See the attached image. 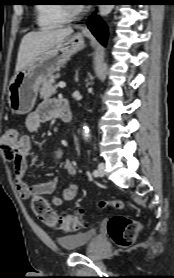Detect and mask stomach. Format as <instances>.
<instances>
[{"label":"stomach","instance_id":"obj_1","mask_svg":"<svg viewBox=\"0 0 174 278\" xmlns=\"http://www.w3.org/2000/svg\"><path fill=\"white\" fill-rule=\"evenodd\" d=\"M85 47V37L68 36L38 55L23 70L16 73L8 86L7 100L13 114L29 113L36 102L40 86L53 76L72 55Z\"/></svg>","mask_w":174,"mask_h":278}]
</instances>
